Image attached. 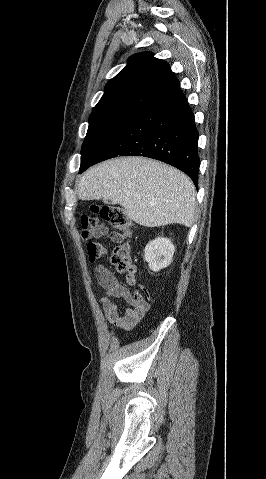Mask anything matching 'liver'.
Instances as JSON below:
<instances>
[{
	"mask_svg": "<svg viewBox=\"0 0 266 479\" xmlns=\"http://www.w3.org/2000/svg\"><path fill=\"white\" fill-rule=\"evenodd\" d=\"M84 201L109 198L139 225L158 227L195 222L196 191L184 173L143 157H120L88 170L77 185Z\"/></svg>",
	"mask_w": 266,
	"mask_h": 479,
	"instance_id": "6515ba94",
	"label": "liver"
}]
</instances>
